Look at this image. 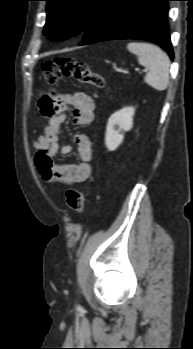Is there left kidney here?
<instances>
[{
  "instance_id": "1",
  "label": "left kidney",
  "mask_w": 193,
  "mask_h": 349,
  "mask_svg": "<svg viewBox=\"0 0 193 349\" xmlns=\"http://www.w3.org/2000/svg\"><path fill=\"white\" fill-rule=\"evenodd\" d=\"M133 107H124L111 115L108 120L105 134V144L109 151H114L122 143L124 132L133 126Z\"/></svg>"
}]
</instances>
